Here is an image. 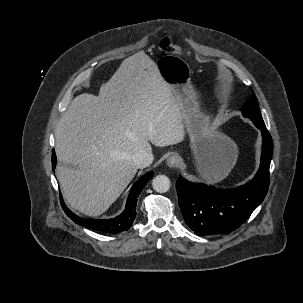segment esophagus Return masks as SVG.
I'll return each mask as SVG.
<instances>
[{
    "mask_svg": "<svg viewBox=\"0 0 303 303\" xmlns=\"http://www.w3.org/2000/svg\"><path fill=\"white\" fill-rule=\"evenodd\" d=\"M166 163L170 168L177 167L179 164V158L177 155L172 154L167 158Z\"/></svg>",
    "mask_w": 303,
    "mask_h": 303,
    "instance_id": "obj_1",
    "label": "esophagus"
}]
</instances>
